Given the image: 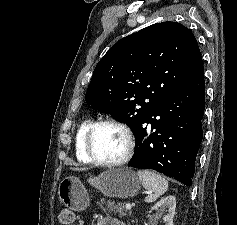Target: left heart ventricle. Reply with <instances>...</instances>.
<instances>
[{
  "label": "left heart ventricle",
  "instance_id": "1",
  "mask_svg": "<svg viewBox=\"0 0 237 225\" xmlns=\"http://www.w3.org/2000/svg\"><path fill=\"white\" fill-rule=\"evenodd\" d=\"M123 132L112 125L99 126L93 136L92 147L95 155L105 161L121 158L126 150Z\"/></svg>",
  "mask_w": 237,
  "mask_h": 225
}]
</instances>
